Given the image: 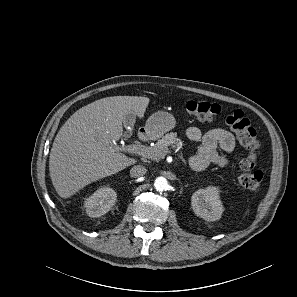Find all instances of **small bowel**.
I'll return each instance as SVG.
<instances>
[{"label": "small bowel", "mask_w": 297, "mask_h": 297, "mask_svg": "<svg viewBox=\"0 0 297 297\" xmlns=\"http://www.w3.org/2000/svg\"><path fill=\"white\" fill-rule=\"evenodd\" d=\"M187 137L199 143L197 154L191 158V165L195 169H204L210 164L226 166L229 160L218 154L220 147L225 152H232L235 148V138L229 131L222 128H213L203 133L198 127H189Z\"/></svg>", "instance_id": "obj_1"}]
</instances>
